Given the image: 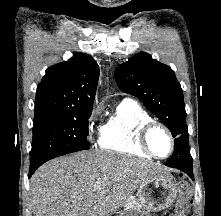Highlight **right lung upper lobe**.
Here are the masks:
<instances>
[{
	"label": "right lung upper lobe",
	"mask_w": 221,
	"mask_h": 216,
	"mask_svg": "<svg viewBox=\"0 0 221 216\" xmlns=\"http://www.w3.org/2000/svg\"><path fill=\"white\" fill-rule=\"evenodd\" d=\"M98 77L96 61L84 53L49 67L37 86L34 122L93 109Z\"/></svg>",
	"instance_id": "cb5924a9"
}]
</instances>
